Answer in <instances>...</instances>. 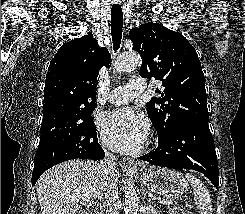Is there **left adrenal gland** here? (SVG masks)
I'll return each instance as SVG.
<instances>
[{"label": "left adrenal gland", "mask_w": 245, "mask_h": 214, "mask_svg": "<svg viewBox=\"0 0 245 214\" xmlns=\"http://www.w3.org/2000/svg\"><path fill=\"white\" fill-rule=\"evenodd\" d=\"M146 193H147V192H146V190L144 189V190H143V195H144V197H145ZM148 203L153 204V202H152V200H151L150 198H149V200H148Z\"/></svg>", "instance_id": "left-adrenal-gland-1"}]
</instances>
